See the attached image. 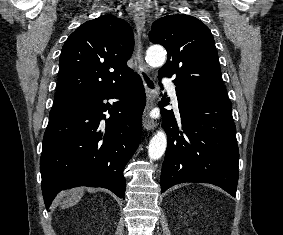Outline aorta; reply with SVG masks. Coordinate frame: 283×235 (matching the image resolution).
Listing matches in <instances>:
<instances>
[{
  "mask_svg": "<svg viewBox=\"0 0 283 235\" xmlns=\"http://www.w3.org/2000/svg\"><path fill=\"white\" fill-rule=\"evenodd\" d=\"M166 51L161 46H151L146 52V61L152 67H160L165 63ZM167 146V136L163 130L157 131L152 137L148 147V155L151 160L160 159Z\"/></svg>",
  "mask_w": 283,
  "mask_h": 235,
  "instance_id": "762f6f07",
  "label": "aorta"
}]
</instances>
